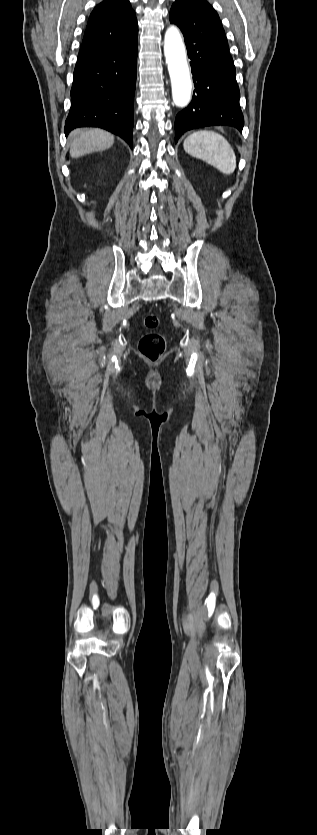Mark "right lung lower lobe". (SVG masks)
Segmentation results:
<instances>
[{
  "instance_id": "1",
  "label": "right lung lower lobe",
  "mask_w": 317,
  "mask_h": 835,
  "mask_svg": "<svg viewBox=\"0 0 317 835\" xmlns=\"http://www.w3.org/2000/svg\"><path fill=\"white\" fill-rule=\"evenodd\" d=\"M137 36L117 45L82 44L74 70L66 136L78 127H99L133 147Z\"/></svg>"
}]
</instances>
